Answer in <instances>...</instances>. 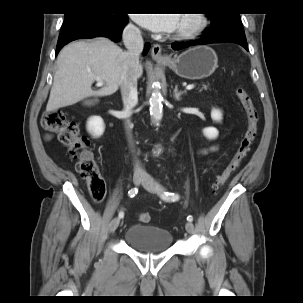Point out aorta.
<instances>
[{"instance_id": "obj_1", "label": "aorta", "mask_w": 303, "mask_h": 303, "mask_svg": "<svg viewBox=\"0 0 303 303\" xmlns=\"http://www.w3.org/2000/svg\"><path fill=\"white\" fill-rule=\"evenodd\" d=\"M162 99L159 89L157 87L154 88L150 98V115L156 123H158L163 117Z\"/></svg>"}]
</instances>
